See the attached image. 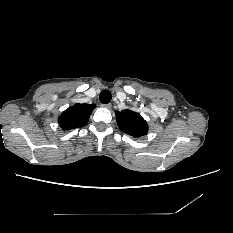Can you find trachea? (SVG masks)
I'll list each match as a JSON object with an SVG mask.
<instances>
[{"label": "trachea", "mask_w": 233, "mask_h": 233, "mask_svg": "<svg viewBox=\"0 0 233 233\" xmlns=\"http://www.w3.org/2000/svg\"><path fill=\"white\" fill-rule=\"evenodd\" d=\"M100 102L107 104L112 99V94L108 90H103L99 95Z\"/></svg>", "instance_id": "3493384b"}]
</instances>
